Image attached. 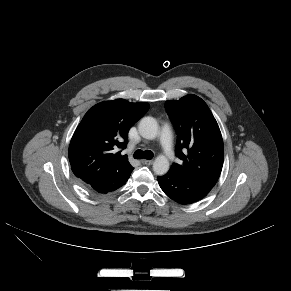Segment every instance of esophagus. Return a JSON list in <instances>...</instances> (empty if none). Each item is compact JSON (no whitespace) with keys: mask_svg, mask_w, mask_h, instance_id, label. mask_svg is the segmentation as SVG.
Returning a JSON list of instances; mask_svg holds the SVG:
<instances>
[{"mask_svg":"<svg viewBox=\"0 0 291 291\" xmlns=\"http://www.w3.org/2000/svg\"><path fill=\"white\" fill-rule=\"evenodd\" d=\"M142 163H143L144 165H152V164H153V160H146V159H143V160H142Z\"/></svg>","mask_w":291,"mask_h":291,"instance_id":"34e87169","label":"esophagus"}]
</instances>
